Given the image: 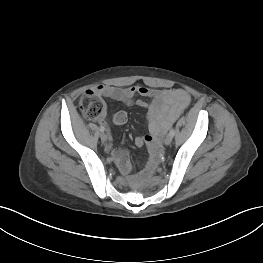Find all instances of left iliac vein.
I'll list each match as a JSON object with an SVG mask.
<instances>
[{"label": "left iliac vein", "mask_w": 263, "mask_h": 263, "mask_svg": "<svg viewBox=\"0 0 263 263\" xmlns=\"http://www.w3.org/2000/svg\"><path fill=\"white\" fill-rule=\"evenodd\" d=\"M172 138L173 137L170 134H168L164 140L165 145H170L172 142Z\"/></svg>", "instance_id": "4c4485c4"}]
</instances>
